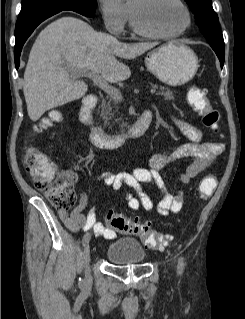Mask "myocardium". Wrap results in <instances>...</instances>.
I'll return each instance as SVG.
<instances>
[{
	"mask_svg": "<svg viewBox=\"0 0 245 319\" xmlns=\"http://www.w3.org/2000/svg\"><path fill=\"white\" fill-rule=\"evenodd\" d=\"M175 1L184 9L186 13L187 22L182 29L172 33H163V32L152 30L144 24V22L142 21L140 17V12L129 5L130 22H131V26L133 30L141 36L154 38V39H174L183 35L186 31L189 30V28L192 25V14L190 9L188 8V6L185 4L183 0H175Z\"/></svg>",
	"mask_w": 245,
	"mask_h": 319,
	"instance_id": "1",
	"label": "myocardium"
}]
</instances>
